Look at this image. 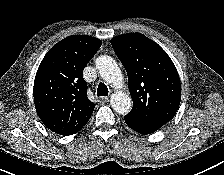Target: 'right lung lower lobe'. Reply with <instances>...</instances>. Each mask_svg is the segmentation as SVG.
I'll return each mask as SVG.
<instances>
[{
    "label": "right lung lower lobe",
    "mask_w": 224,
    "mask_h": 175,
    "mask_svg": "<svg viewBox=\"0 0 224 175\" xmlns=\"http://www.w3.org/2000/svg\"><path fill=\"white\" fill-rule=\"evenodd\" d=\"M79 130H80V129H79ZM79 130H77V131H75V132L71 133L70 135L77 133Z\"/></svg>",
    "instance_id": "right-lung-lower-lobe-1"
}]
</instances>
